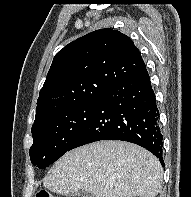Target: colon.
I'll list each match as a JSON object with an SVG mask.
<instances>
[{"instance_id": "obj_1", "label": "colon", "mask_w": 191, "mask_h": 197, "mask_svg": "<svg viewBox=\"0 0 191 197\" xmlns=\"http://www.w3.org/2000/svg\"><path fill=\"white\" fill-rule=\"evenodd\" d=\"M36 197H55L54 195H52L51 193H49L46 190H41L36 194Z\"/></svg>"}]
</instances>
